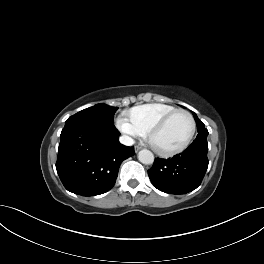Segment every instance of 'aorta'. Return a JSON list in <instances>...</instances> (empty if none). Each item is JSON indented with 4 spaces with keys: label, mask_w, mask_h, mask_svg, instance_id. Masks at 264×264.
<instances>
[{
    "label": "aorta",
    "mask_w": 264,
    "mask_h": 264,
    "mask_svg": "<svg viewBox=\"0 0 264 264\" xmlns=\"http://www.w3.org/2000/svg\"><path fill=\"white\" fill-rule=\"evenodd\" d=\"M138 160L145 165L153 164L154 155L150 150L143 149L138 153Z\"/></svg>",
    "instance_id": "aorta-1"
}]
</instances>
